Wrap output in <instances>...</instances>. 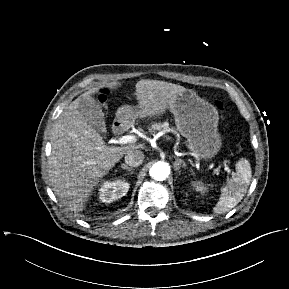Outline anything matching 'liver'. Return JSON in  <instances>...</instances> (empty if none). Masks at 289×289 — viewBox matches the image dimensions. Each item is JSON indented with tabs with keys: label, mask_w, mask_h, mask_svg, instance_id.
<instances>
[{
	"label": "liver",
	"mask_w": 289,
	"mask_h": 289,
	"mask_svg": "<svg viewBox=\"0 0 289 289\" xmlns=\"http://www.w3.org/2000/svg\"><path fill=\"white\" fill-rule=\"evenodd\" d=\"M121 84L103 83L75 99L58 117L53 127L48 161L50 183L59 199L74 210H82L94 188L129 151L139 148L134 142L126 146H107L103 138L80 112V103L93 102L92 94L100 89H116ZM138 107L146 116L162 115L183 86L157 80L136 83Z\"/></svg>",
	"instance_id": "liver-1"
}]
</instances>
